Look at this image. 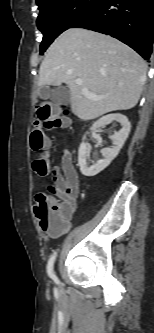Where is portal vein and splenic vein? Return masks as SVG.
Masks as SVG:
<instances>
[{
    "label": "portal vein and splenic vein",
    "instance_id": "obj_1",
    "mask_svg": "<svg viewBox=\"0 0 154 333\" xmlns=\"http://www.w3.org/2000/svg\"><path fill=\"white\" fill-rule=\"evenodd\" d=\"M75 82H76L77 85H82V83H83V81L81 79H77ZM83 93L89 99L99 100V99L102 98V97H99V96H96V95L90 93L87 89H83Z\"/></svg>",
    "mask_w": 154,
    "mask_h": 333
}]
</instances>
